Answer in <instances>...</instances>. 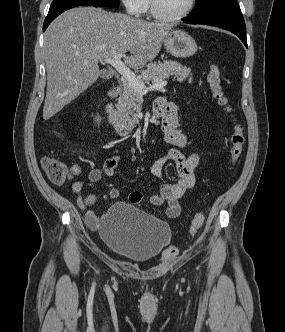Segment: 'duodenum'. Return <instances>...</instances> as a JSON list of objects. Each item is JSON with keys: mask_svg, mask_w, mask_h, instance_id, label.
I'll return each instance as SVG.
<instances>
[{"mask_svg": "<svg viewBox=\"0 0 285 332\" xmlns=\"http://www.w3.org/2000/svg\"><path fill=\"white\" fill-rule=\"evenodd\" d=\"M116 94V87L111 88L107 92L108 101L105 104V114L107 121L114 128V130L121 136H127L132 132V126L128 123L123 122L115 107L113 105L112 99ZM167 102L164 99H158L155 102V113L158 119L162 118L163 114L166 111Z\"/></svg>", "mask_w": 285, "mask_h": 332, "instance_id": "1", "label": "duodenum"}]
</instances>
